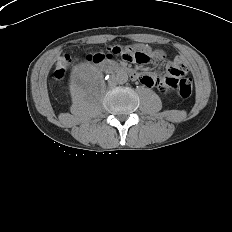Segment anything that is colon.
Here are the masks:
<instances>
[{"label": "colon", "mask_w": 232, "mask_h": 232, "mask_svg": "<svg viewBox=\"0 0 232 232\" xmlns=\"http://www.w3.org/2000/svg\"><path fill=\"white\" fill-rule=\"evenodd\" d=\"M150 50L144 48L134 51L132 48L111 47L106 51L91 53L87 56V60L95 63L112 58H121L127 62L136 64H146L150 60ZM156 57H161L160 53H155ZM69 58L67 56L60 57L53 71L55 79L63 78ZM166 87L176 91L181 98H188L191 95L192 87L190 80L187 77V72L172 65L169 70V75L166 79Z\"/></svg>", "instance_id": "5ec220e1"}]
</instances>
